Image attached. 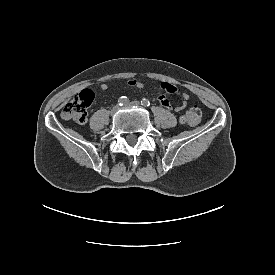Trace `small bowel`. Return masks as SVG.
Returning <instances> with one entry per match:
<instances>
[{"mask_svg": "<svg viewBox=\"0 0 275 275\" xmlns=\"http://www.w3.org/2000/svg\"><path fill=\"white\" fill-rule=\"evenodd\" d=\"M128 84L131 87H135L138 89H141L144 87V84L136 79H131L129 80ZM100 89L101 90H106L107 89V85L106 84H101L100 85ZM166 94H173V95H178L180 97V103L174 108V110L176 112H180L182 110H184L187 106V102L189 100V95L186 92H181L176 86L167 83V82H163L160 84V92L157 96V99L160 103L161 106H163L164 108L167 109H172V106L169 102V100L166 97Z\"/></svg>", "mask_w": 275, "mask_h": 275, "instance_id": "small-bowel-1", "label": "small bowel"}]
</instances>
